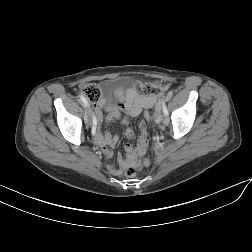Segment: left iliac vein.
<instances>
[{"label": "left iliac vein", "instance_id": "4c4485c4", "mask_svg": "<svg viewBox=\"0 0 252 252\" xmlns=\"http://www.w3.org/2000/svg\"><path fill=\"white\" fill-rule=\"evenodd\" d=\"M161 106L158 105L157 109H156V113H155V123L159 124L161 122H165L166 118L164 117V115L160 112Z\"/></svg>", "mask_w": 252, "mask_h": 252}]
</instances>
